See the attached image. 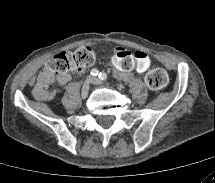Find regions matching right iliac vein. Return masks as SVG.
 Listing matches in <instances>:
<instances>
[{"instance_id":"right-iliac-vein-1","label":"right iliac vein","mask_w":215,"mask_h":183,"mask_svg":"<svg viewBox=\"0 0 215 183\" xmlns=\"http://www.w3.org/2000/svg\"><path fill=\"white\" fill-rule=\"evenodd\" d=\"M90 83H91V77H87L82 86V91H81L82 98H86L88 96Z\"/></svg>"}]
</instances>
